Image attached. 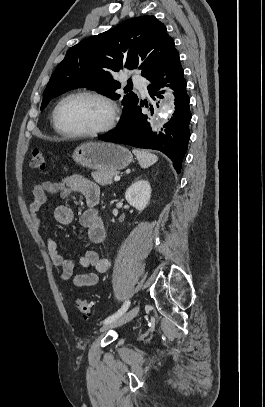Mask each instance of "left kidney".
<instances>
[{"instance_id":"5707ae66","label":"left kidney","mask_w":265,"mask_h":407,"mask_svg":"<svg viewBox=\"0 0 265 407\" xmlns=\"http://www.w3.org/2000/svg\"><path fill=\"white\" fill-rule=\"evenodd\" d=\"M151 187L146 180L135 181L125 192V198L138 211H143L149 203Z\"/></svg>"}]
</instances>
